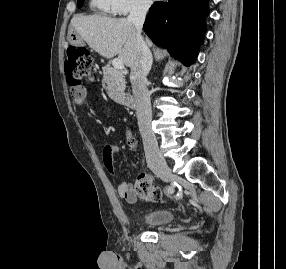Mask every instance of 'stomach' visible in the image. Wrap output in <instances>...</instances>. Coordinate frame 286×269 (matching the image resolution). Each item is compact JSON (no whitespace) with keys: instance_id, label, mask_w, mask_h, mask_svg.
<instances>
[{"instance_id":"obj_1","label":"stomach","mask_w":286,"mask_h":269,"mask_svg":"<svg viewBox=\"0 0 286 269\" xmlns=\"http://www.w3.org/2000/svg\"><path fill=\"white\" fill-rule=\"evenodd\" d=\"M68 41L73 45H81L82 38L77 33H69Z\"/></svg>"}]
</instances>
